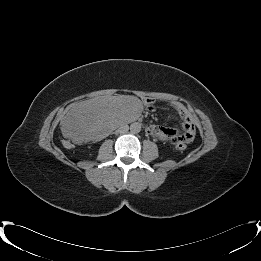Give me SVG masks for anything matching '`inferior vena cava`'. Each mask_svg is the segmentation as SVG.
<instances>
[{
    "label": "inferior vena cava",
    "instance_id": "602c4592",
    "mask_svg": "<svg viewBox=\"0 0 261 261\" xmlns=\"http://www.w3.org/2000/svg\"><path fill=\"white\" fill-rule=\"evenodd\" d=\"M119 129H120V132L123 133L129 129V126L127 124H122Z\"/></svg>",
    "mask_w": 261,
    "mask_h": 261
}]
</instances>
